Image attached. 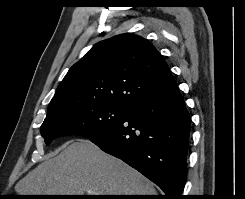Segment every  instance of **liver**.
Masks as SVG:
<instances>
[{
	"label": "liver",
	"instance_id": "liver-1",
	"mask_svg": "<svg viewBox=\"0 0 245 199\" xmlns=\"http://www.w3.org/2000/svg\"><path fill=\"white\" fill-rule=\"evenodd\" d=\"M19 195H156L153 184L88 139L70 141L15 186ZM90 191V192H88ZM87 193V194H85Z\"/></svg>",
	"mask_w": 245,
	"mask_h": 199
}]
</instances>
